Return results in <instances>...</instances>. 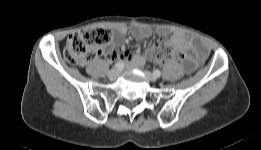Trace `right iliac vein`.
Listing matches in <instances>:
<instances>
[{
	"label": "right iliac vein",
	"mask_w": 261,
	"mask_h": 150,
	"mask_svg": "<svg viewBox=\"0 0 261 150\" xmlns=\"http://www.w3.org/2000/svg\"><path fill=\"white\" fill-rule=\"evenodd\" d=\"M119 75V70L117 69H111L109 72H108V77L112 80H115Z\"/></svg>",
	"instance_id": "63e3f726"
}]
</instances>
